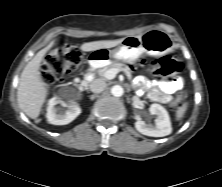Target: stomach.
Here are the masks:
<instances>
[{"instance_id": "stomach-1", "label": "stomach", "mask_w": 222, "mask_h": 187, "mask_svg": "<svg viewBox=\"0 0 222 187\" xmlns=\"http://www.w3.org/2000/svg\"><path fill=\"white\" fill-rule=\"evenodd\" d=\"M175 48L171 36L159 29H152L140 36H127L114 49L101 48L90 55L91 63H107L109 60L133 63L146 53L161 56L172 52Z\"/></svg>"}]
</instances>
